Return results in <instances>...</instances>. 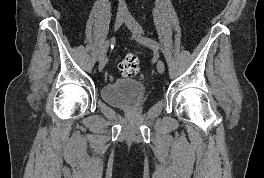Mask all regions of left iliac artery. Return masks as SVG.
Returning <instances> with one entry per match:
<instances>
[{
  "instance_id": "obj_1",
  "label": "left iliac artery",
  "mask_w": 264,
  "mask_h": 178,
  "mask_svg": "<svg viewBox=\"0 0 264 178\" xmlns=\"http://www.w3.org/2000/svg\"><path fill=\"white\" fill-rule=\"evenodd\" d=\"M136 39L150 48L159 49V43L153 39L147 37H137Z\"/></svg>"
}]
</instances>
